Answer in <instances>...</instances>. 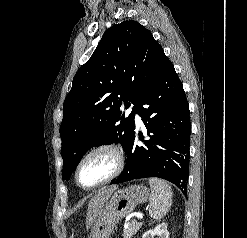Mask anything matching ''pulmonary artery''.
Masks as SVG:
<instances>
[{
	"label": "pulmonary artery",
	"instance_id": "pulmonary-artery-1",
	"mask_svg": "<svg viewBox=\"0 0 247 238\" xmlns=\"http://www.w3.org/2000/svg\"><path fill=\"white\" fill-rule=\"evenodd\" d=\"M128 111L134 113L136 124L137 125H142V120H141L139 114L133 109V107H130Z\"/></svg>",
	"mask_w": 247,
	"mask_h": 238
}]
</instances>
